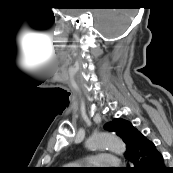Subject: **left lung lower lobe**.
<instances>
[{
  "mask_svg": "<svg viewBox=\"0 0 173 173\" xmlns=\"http://www.w3.org/2000/svg\"><path fill=\"white\" fill-rule=\"evenodd\" d=\"M126 158L129 165L126 173H164L163 156L152 141L138 132L134 145Z\"/></svg>",
  "mask_w": 173,
  "mask_h": 173,
  "instance_id": "1",
  "label": "left lung lower lobe"
}]
</instances>
